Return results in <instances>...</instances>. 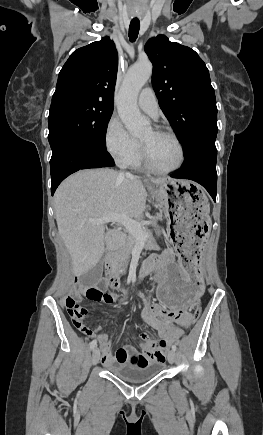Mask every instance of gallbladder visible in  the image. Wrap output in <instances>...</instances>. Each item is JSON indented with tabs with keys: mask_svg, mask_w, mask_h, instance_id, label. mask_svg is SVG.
<instances>
[{
	"mask_svg": "<svg viewBox=\"0 0 263 435\" xmlns=\"http://www.w3.org/2000/svg\"><path fill=\"white\" fill-rule=\"evenodd\" d=\"M106 255H103L97 265L88 273L81 276V284L87 287L94 286L98 283L103 273V267Z\"/></svg>",
	"mask_w": 263,
	"mask_h": 435,
	"instance_id": "bac80fb5",
	"label": "gallbladder"
}]
</instances>
